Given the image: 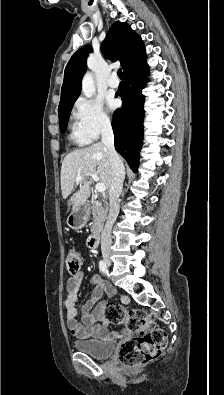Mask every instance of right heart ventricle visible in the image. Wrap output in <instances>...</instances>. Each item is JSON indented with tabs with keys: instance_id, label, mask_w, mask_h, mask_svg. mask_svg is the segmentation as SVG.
Segmentation results:
<instances>
[{
	"instance_id": "right-heart-ventricle-1",
	"label": "right heart ventricle",
	"mask_w": 224,
	"mask_h": 395,
	"mask_svg": "<svg viewBox=\"0 0 224 395\" xmlns=\"http://www.w3.org/2000/svg\"><path fill=\"white\" fill-rule=\"evenodd\" d=\"M70 138L72 141H74L75 143L79 144V145H85L87 143H89L91 140L84 137L83 135H81L76 127H73Z\"/></svg>"
}]
</instances>
